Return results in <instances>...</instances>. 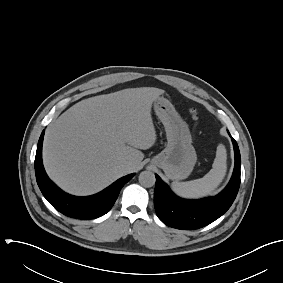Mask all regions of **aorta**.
I'll list each match as a JSON object with an SVG mask.
<instances>
[{"label": "aorta", "mask_w": 283, "mask_h": 283, "mask_svg": "<svg viewBox=\"0 0 283 283\" xmlns=\"http://www.w3.org/2000/svg\"><path fill=\"white\" fill-rule=\"evenodd\" d=\"M156 182V178L153 172L151 171H143L139 175V183L143 187H152Z\"/></svg>", "instance_id": "aorta-1"}]
</instances>
